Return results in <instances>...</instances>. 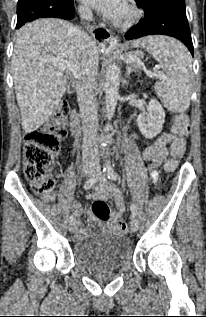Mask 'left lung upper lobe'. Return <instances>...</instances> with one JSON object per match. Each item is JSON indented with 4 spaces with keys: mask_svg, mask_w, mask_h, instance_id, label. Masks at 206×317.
<instances>
[{
    "mask_svg": "<svg viewBox=\"0 0 206 317\" xmlns=\"http://www.w3.org/2000/svg\"><path fill=\"white\" fill-rule=\"evenodd\" d=\"M138 7H142L145 14L160 10H172L185 13L184 0H135Z\"/></svg>",
    "mask_w": 206,
    "mask_h": 317,
    "instance_id": "left-lung-upper-lobe-1",
    "label": "left lung upper lobe"
}]
</instances>
